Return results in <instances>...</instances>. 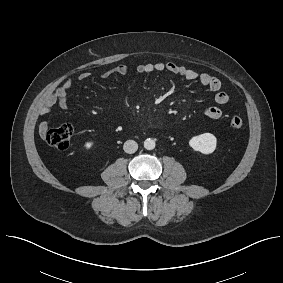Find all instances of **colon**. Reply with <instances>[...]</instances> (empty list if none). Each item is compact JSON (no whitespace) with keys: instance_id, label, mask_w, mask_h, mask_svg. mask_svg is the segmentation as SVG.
<instances>
[{"instance_id":"5ec220e1","label":"colon","mask_w":283,"mask_h":283,"mask_svg":"<svg viewBox=\"0 0 283 283\" xmlns=\"http://www.w3.org/2000/svg\"><path fill=\"white\" fill-rule=\"evenodd\" d=\"M244 124L240 116H233L230 125L234 129H240ZM73 135V127L70 124H62L56 128L49 130L46 134L47 143L53 148L64 150L70 145Z\"/></svg>"}]
</instances>
